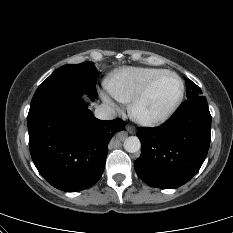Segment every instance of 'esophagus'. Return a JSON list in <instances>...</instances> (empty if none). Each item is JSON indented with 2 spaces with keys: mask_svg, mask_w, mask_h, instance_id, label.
<instances>
[{
  "mask_svg": "<svg viewBox=\"0 0 233 233\" xmlns=\"http://www.w3.org/2000/svg\"><path fill=\"white\" fill-rule=\"evenodd\" d=\"M126 130L130 133V134H134L135 133V129L132 126L127 125L126 126Z\"/></svg>",
  "mask_w": 233,
  "mask_h": 233,
  "instance_id": "1",
  "label": "esophagus"
}]
</instances>
